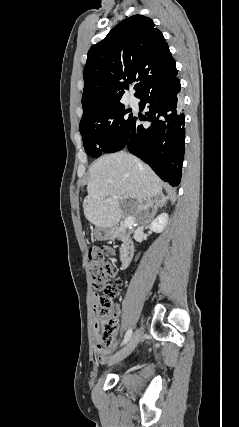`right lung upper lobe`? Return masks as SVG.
<instances>
[{
  "mask_svg": "<svg viewBox=\"0 0 239 427\" xmlns=\"http://www.w3.org/2000/svg\"><path fill=\"white\" fill-rule=\"evenodd\" d=\"M175 60L153 21L134 15L93 45L84 69L83 115L97 105L120 101L129 84L135 97L176 73Z\"/></svg>",
  "mask_w": 239,
  "mask_h": 427,
  "instance_id": "1",
  "label": "right lung upper lobe"
}]
</instances>
